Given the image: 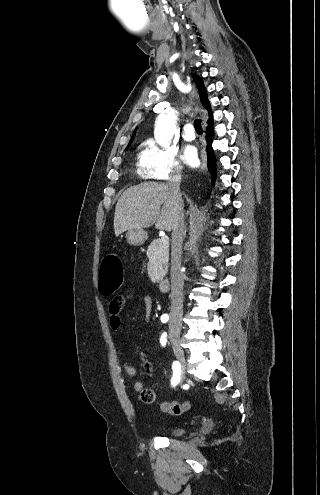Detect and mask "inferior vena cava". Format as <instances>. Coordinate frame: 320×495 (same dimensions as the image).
I'll use <instances>...</instances> for the list:
<instances>
[{"label": "inferior vena cava", "mask_w": 320, "mask_h": 495, "mask_svg": "<svg viewBox=\"0 0 320 495\" xmlns=\"http://www.w3.org/2000/svg\"><path fill=\"white\" fill-rule=\"evenodd\" d=\"M181 170L175 169L168 181L169 190L178 203L172 226L171 243V312L170 332L179 331L183 315V274L181 272V252L184 235V213L180 192Z\"/></svg>", "instance_id": "inferior-vena-cava-1"}]
</instances>
